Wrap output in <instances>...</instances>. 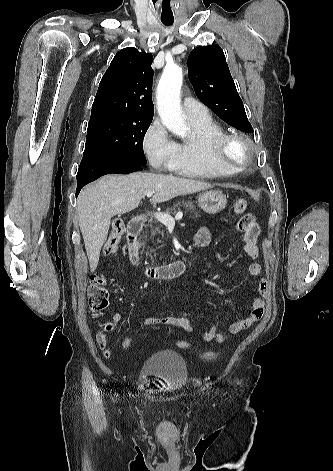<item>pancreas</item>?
<instances>
[{"mask_svg":"<svg viewBox=\"0 0 333 471\" xmlns=\"http://www.w3.org/2000/svg\"><path fill=\"white\" fill-rule=\"evenodd\" d=\"M184 206L187 210H190L191 213H193V218H197L199 215H198V211H196L195 209V206L193 205V203L191 201H188V202H184L182 201V204L179 202L176 207L178 208V210H180V207ZM172 211V209H168L165 214H170V212ZM158 221H153V219H150L148 224L146 225V227H150V238L149 240H154L156 235L158 234H161L163 235L164 234V230H160V228L162 227V225H159L157 224ZM153 224H156L155 226ZM148 237V234H147V231H145V234L143 235V239H147ZM157 243L158 242H161L159 239H156ZM156 244V243H154ZM154 252V249L148 247L147 248V254L150 256V258L152 259V263L154 264L155 263V260L153 259V256H152V253Z\"/></svg>","mask_w":333,"mask_h":471,"instance_id":"1","label":"pancreas"}]
</instances>
